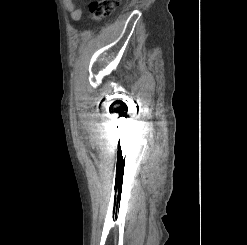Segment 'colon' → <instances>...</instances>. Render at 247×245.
Instances as JSON below:
<instances>
[{"label":"colon","instance_id":"obj_1","mask_svg":"<svg viewBox=\"0 0 247 245\" xmlns=\"http://www.w3.org/2000/svg\"><path fill=\"white\" fill-rule=\"evenodd\" d=\"M119 0H94L89 4L88 14L94 21L110 16L116 9Z\"/></svg>","mask_w":247,"mask_h":245}]
</instances>
